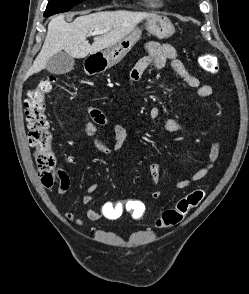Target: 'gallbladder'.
<instances>
[{
  "label": "gallbladder",
  "instance_id": "1",
  "mask_svg": "<svg viewBox=\"0 0 249 294\" xmlns=\"http://www.w3.org/2000/svg\"><path fill=\"white\" fill-rule=\"evenodd\" d=\"M74 64V58L61 51L48 60L46 69L53 74H64L73 70Z\"/></svg>",
  "mask_w": 249,
  "mask_h": 294
}]
</instances>
